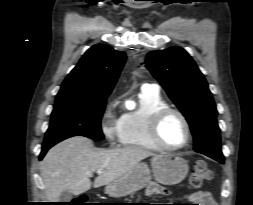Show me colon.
I'll return each mask as SVG.
<instances>
[{
	"instance_id": "obj_1",
	"label": "colon",
	"mask_w": 253,
	"mask_h": 205,
	"mask_svg": "<svg viewBox=\"0 0 253 205\" xmlns=\"http://www.w3.org/2000/svg\"><path fill=\"white\" fill-rule=\"evenodd\" d=\"M212 176V171L209 169L207 163L203 160H198L192 167L189 185L194 189L200 188L206 182L210 181ZM70 205H86V198L81 197L75 199Z\"/></svg>"
}]
</instances>
